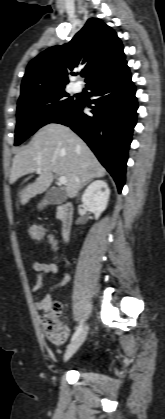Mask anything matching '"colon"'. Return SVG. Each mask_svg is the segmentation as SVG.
<instances>
[{
	"label": "colon",
	"instance_id": "colon-1",
	"mask_svg": "<svg viewBox=\"0 0 165 419\" xmlns=\"http://www.w3.org/2000/svg\"><path fill=\"white\" fill-rule=\"evenodd\" d=\"M30 237L33 240L39 241L49 237L52 247L57 250L58 242L55 238L48 236L47 231L38 226H32L29 229ZM62 313V305L59 302H53L48 309L46 314H43L40 318V323L45 335L55 344H64L68 337L69 331L59 321V316Z\"/></svg>",
	"mask_w": 165,
	"mask_h": 419
}]
</instances>
